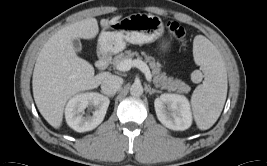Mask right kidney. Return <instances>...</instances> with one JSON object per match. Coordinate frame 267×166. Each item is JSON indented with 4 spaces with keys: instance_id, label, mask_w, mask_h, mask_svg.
<instances>
[{
    "instance_id": "1",
    "label": "right kidney",
    "mask_w": 267,
    "mask_h": 166,
    "mask_svg": "<svg viewBox=\"0 0 267 166\" xmlns=\"http://www.w3.org/2000/svg\"><path fill=\"white\" fill-rule=\"evenodd\" d=\"M109 103V99L99 93L78 94L67 103L65 108L66 122L77 132L91 131L103 121ZM89 105L96 109L92 116L85 117L83 112Z\"/></svg>"
}]
</instances>
